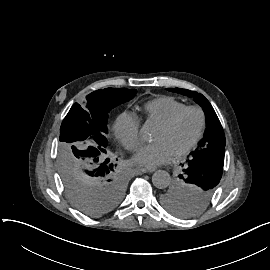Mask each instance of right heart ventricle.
<instances>
[{
    "mask_svg": "<svg viewBox=\"0 0 270 270\" xmlns=\"http://www.w3.org/2000/svg\"><path fill=\"white\" fill-rule=\"evenodd\" d=\"M185 108V104L169 96H159L144 104V114L141 120H158L160 123L168 120L175 113Z\"/></svg>",
    "mask_w": 270,
    "mask_h": 270,
    "instance_id": "obj_1",
    "label": "right heart ventricle"
}]
</instances>
